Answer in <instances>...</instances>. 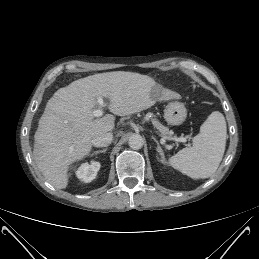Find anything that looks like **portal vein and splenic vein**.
<instances>
[{"instance_id": "portal-vein-and-splenic-vein-1", "label": "portal vein and splenic vein", "mask_w": 259, "mask_h": 259, "mask_svg": "<svg viewBox=\"0 0 259 259\" xmlns=\"http://www.w3.org/2000/svg\"><path fill=\"white\" fill-rule=\"evenodd\" d=\"M98 104L100 106V109H96L93 111V116L94 117H100L103 115V110L102 108L105 107V103H104V100L102 98H98ZM161 137H162V140L165 141V140H174L176 142H183V143H186L187 142V139L184 138V137H180V138H169V137H166V136H163L162 134H159ZM168 149L171 148V146H167Z\"/></svg>"}]
</instances>
